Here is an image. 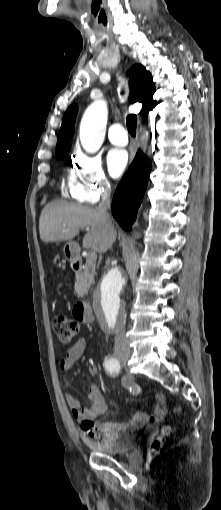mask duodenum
<instances>
[{
	"label": "duodenum",
	"instance_id": "obj_1",
	"mask_svg": "<svg viewBox=\"0 0 221 510\" xmlns=\"http://www.w3.org/2000/svg\"><path fill=\"white\" fill-rule=\"evenodd\" d=\"M72 267L76 271L81 270V263H80L79 259H77L76 257H74L72 260ZM74 310H75L76 316L83 322L89 323L93 320L92 313H91V311L89 309V305L86 301H81V302L77 303Z\"/></svg>",
	"mask_w": 221,
	"mask_h": 510
}]
</instances>
